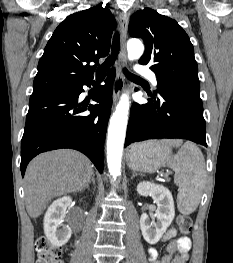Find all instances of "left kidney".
<instances>
[{
    "mask_svg": "<svg viewBox=\"0 0 233 263\" xmlns=\"http://www.w3.org/2000/svg\"><path fill=\"white\" fill-rule=\"evenodd\" d=\"M137 192L141 196H151L157 205L152 221L146 213H142L140 217L142 235L149 244L154 245L162 238L174 219V200L166 187L151 182H140Z\"/></svg>",
    "mask_w": 233,
    "mask_h": 263,
    "instance_id": "1",
    "label": "left kidney"
}]
</instances>
